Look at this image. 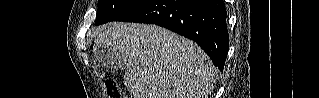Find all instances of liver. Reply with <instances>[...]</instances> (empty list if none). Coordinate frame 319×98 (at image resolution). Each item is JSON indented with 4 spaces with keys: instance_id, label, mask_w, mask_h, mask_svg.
<instances>
[{
    "instance_id": "6515ba94",
    "label": "liver",
    "mask_w": 319,
    "mask_h": 98,
    "mask_svg": "<svg viewBox=\"0 0 319 98\" xmlns=\"http://www.w3.org/2000/svg\"><path fill=\"white\" fill-rule=\"evenodd\" d=\"M95 43L128 59L123 79L134 98H208L216 84L207 54L159 26L112 22L99 28Z\"/></svg>"
}]
</instances>
